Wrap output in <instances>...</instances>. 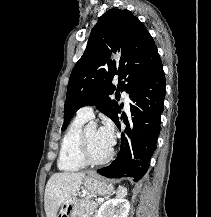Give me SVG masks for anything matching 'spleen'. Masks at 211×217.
I'll return each instance as SVG.
<instances>
[{
    "label": "spleen",
    "mask_w": 211,
    "mask_h": 217,
    "mask_svg": "<svg viewBox=\"0 0 211 217\" xmlns=\"http://www.w3.org/2000/svg\"><path fill=\"white\" fill-rule=\"evenodd\" d=\"M127 195V188L123 187V186H119L118 190H117V196L118 197H124Z\"/></svg>",
    "instance_id": "1"
}]
</instances>
